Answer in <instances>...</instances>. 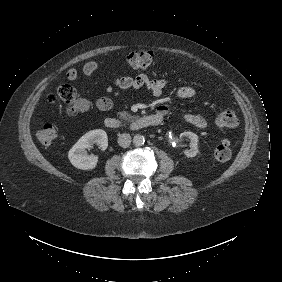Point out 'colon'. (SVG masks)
I'll use <instances>...</instances> for the list:
<instances>
[{
  "instance_id": "colon-1",
  "label": "colon",
  "mask_w": 282,
  "mask_h": 282,
  "mask_svg": "<svg viewBox=\"0 0 282 282\" xmlns=\"http://www.w3.org/2000/svg\"><path fill=\"white\" fill-rule=\"evenodd\" d=\"M155 61V55L150 50H135L127 57V62L134 70L145 69ZM76 92L69 86L61 85L49 95L50 102L69 103L74 100ZM216 125L221 129L235 128L238 118L234 111L224 109L216 117ZM37 139L45 145H50L57 137V128L54 123H45L36 133ZM231 156V147L227 141H220L214 148V159L218 162L226 161Z\"/></svg>"
}]
</instances>
